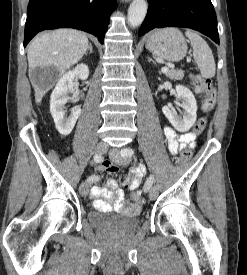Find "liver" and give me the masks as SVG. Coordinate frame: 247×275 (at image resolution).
Masks as SVG:
<instances>
[{"mask_svg":"<svg viewBox=\"0 0 247 275\" xmlns=\"http://www.w3.org/2000/svg\"><path fill=\"white\" fill-rule=\"evenodd\" d=\"M88 44L87 36L75 29H57L37 36L27 49L29 74L37 67H54L62 75L82 59ZM50 87L34 85L37 103L41 102Z\"/></svg>","mask_w":247,"mask_h":275,"instance_id":"liver-1","label":"liver"}]
</instances>
